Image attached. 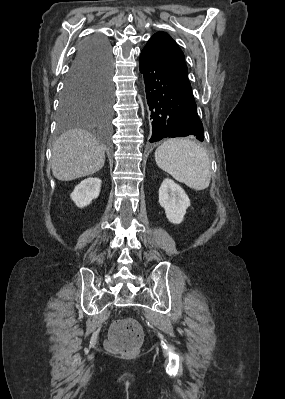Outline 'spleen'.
<instances>
[{"label": "spleen", "mask_w": 285, "mask_h": 399, "mask_svg": "<svg viewBox=\"0 0 285 399\" xmlns=\"http://www.w3.org/2000/svg\"><path fill=\"white\" fill-rule=\"evenodd\" d=\"M160 169L195 190L206 189L211 181L209 157L203 147L190 139H167L155 151Z\"/></svg>", "instance_id": "3e777b00"}]
</instances>
